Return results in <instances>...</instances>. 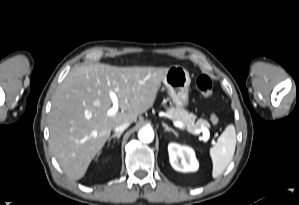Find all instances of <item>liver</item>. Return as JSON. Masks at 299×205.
Instances as JSON below:
<instances>
[{
    "mask_svg": "<svg viewBox=\"0 0 299 205\" xmlns=\"http://www.w3.org/2000/svg\"><path fill=\"white\" fill-rule=\"evenodd\" d=\"M168 68L116 67L97 63L71 71L52 97L49 145L60 167L72 180L81 179L101 151L111 130L133 123L153 106ZM121 109L114 116L109 92Z\"/></svg>",
    "mask_w": 299,
    "mask_h": 205,
    "instance_id": "obj_1",
    "label": "liver"
}]
</instances>
